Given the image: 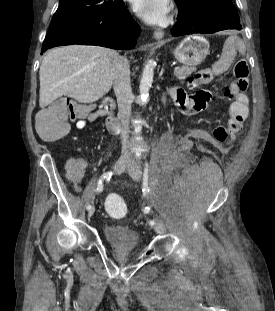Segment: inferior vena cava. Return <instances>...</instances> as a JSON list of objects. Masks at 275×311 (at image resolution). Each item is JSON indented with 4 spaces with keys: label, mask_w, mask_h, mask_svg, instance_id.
<instances>
[{
    "label": "inferior vena cava",
    "mask_w": 275,
    "mask_h": 311,
    "mask_svg": "<svg viewBox=\"0 0 275 311\" xmlns=\"http://www.w3.org/2000/svg\"><path fill=\"white\" fill-rule=\"evenodd\" d=\"M113 68V87L117 97L119 118L122 123V157L130 160L131 154L128 150L127 143L129 138V119L131 115V104L133 102V94L130 80V66L126 58L115 54L112 58Z\"/></svg>",
    "instance_id": "obj_1"
}]
</instances>
